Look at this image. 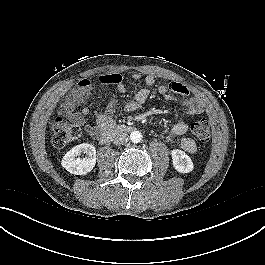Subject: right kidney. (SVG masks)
Instances as JSON below:
<instances>
[{"instance_id":"right-kidney-1","label":"right kidney","mask_w":265,"mask_h":265,"mask_svg":"<svg viewBox=\"0 0 265 265\" xmlns=\"http://www.w3.org/2000/svg\"><path fill=\"white\" fill-rule=\"evenodd\" d=\"M82 153H86L85 158H80ZM96 164V149L92 144L83 143L73 147L63 156L61 165L69 173L75 175H85L90 172Z\"/></svg>"}]
</instances>
